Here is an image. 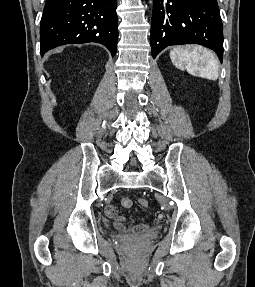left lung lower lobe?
Returning <instances> with one entry per match:
<instances>
[{
  "instance_id": "left-lung-lower-lobe-1",
  "label": "left lung lower lobe",
  "mask_w": 255,
  "mask_h": 287,
  "mask_svg": "<svg viewBox=\"0 0 255 287\" xmlns=\"http://www.w3.org/2000/svg\"><path fill=\"white\" fill-rule=\"evenodd\" d=\"M153 58L170 45L195 43L214 50L223 60V25L217 0H153Z\"/></svg>"
}]
</instances>
